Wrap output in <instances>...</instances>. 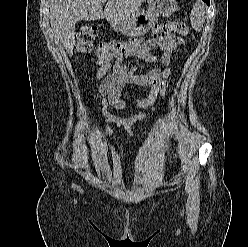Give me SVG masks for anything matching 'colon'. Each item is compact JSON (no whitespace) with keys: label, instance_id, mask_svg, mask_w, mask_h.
Listing matches in <instances>:
<instances>
[{"label":"colon","instance_id":"colon-1","mask_svg":"<svg viewBox=\"0 0 248 247\" xmlns=\"http://www.w3.org/2000/svg\"><path fill=\"white\" fill-rule=\"evenodd\" d=\"M172 32L180 35H187L189 27L186 23L180 21H165L156 26L152 31L155 38L165 37ZM98 30L95 26H85L78 35L77 50L80 53H87L92 49L93 42L97 37ZM128 47V42L110 41L100 44L97 48L96 55L98 62L108 55L115 52H122Z\"/></svg>","mask_w":248,"mask_h":247}]
</instances>
